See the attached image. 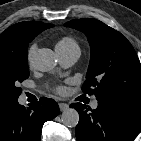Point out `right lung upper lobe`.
I'll list each match as a JSON object with an SVG mask.
<instances>
[{"label":"right lung upper lobe","mask_w":141,"mask_h":141,"mask_svg":"<svg viewBox=\"0 0 141 141\" xmlns=\"http://www.w3.org/2000/svg\"><path fill=\"white\" fill-rule=\"evenodd\" d=\"M53 26L38 21H25L10 26L0 35V53L20 52L40 32Z\"/></svg>","instance_id":"1"}]
</instances>
